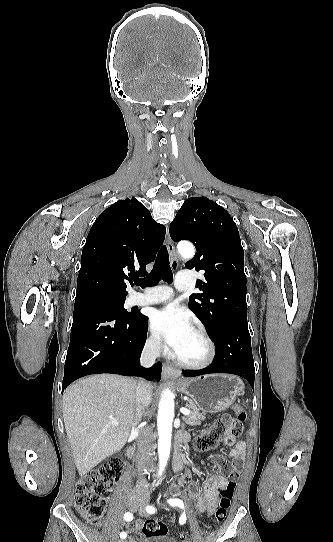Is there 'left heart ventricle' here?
Returning a JSON list of instances; mask_svg holds the SVG:
<instances>
[{"label":"left heart ventricle","instance_id":"left-heart-ventricle-1","mask_svg":"<svg viewBox=\"0 0 333 542\" xmlns=\"http://www.w3.org/2000/svg\"><path fill=\"white\" fill-rule=\"evenodd\" d=\"M171 353L181 360L197 362L205 358L207 350L204 342L193 330L182 340L176 350Z\"/></svg>","mask_w":333,"mask_h":542}]
</instances>
